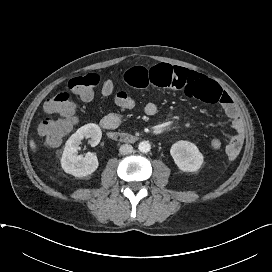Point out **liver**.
<instances>
[{
  "label": "liver",
  "mask_w": 272,
  "mask_h": 272,
  "mask_svg": "<svg viewBox=\"0 0 272 272\" xmlns=\"http://www.w3.org/2000/svg\"><path fill=\"white\" fill-rule=\"evenodd\" d=\"M29 144H30L31 150H32L33 152H36L37 146H36L35 141H34L33 139H31L30 142H29Z\"/></svg>",
  "instance_id": "obj_1"
}]
</instances>
